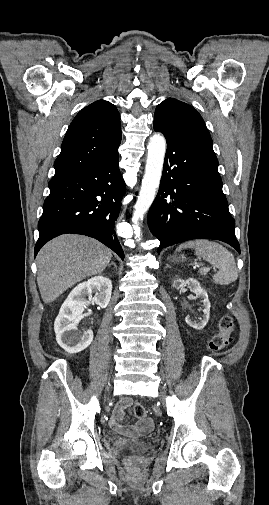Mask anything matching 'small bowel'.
<instances>
[{"label": "small bowel", "instance_id": "1", "mask_svg": "<svg viewBox=\"0 0 269 505\" xmlns=\"http://www.w3.org/2000/svg\"><path fill=\"white\" fill-rule=\"evenodd\" d=\"M132 405V400L125 397L116 405L113 416L110 420L111 428L118 433L128 436H140L147 434L153 428V421L150 418L144 417L139 419L135 426H126L122 423L125 410Z\"/></svg>", "mask_w": 269, "mask_h": 505}]
</instances>
